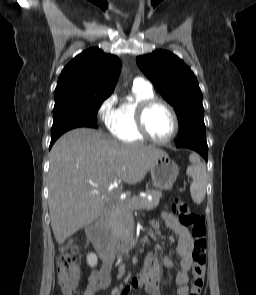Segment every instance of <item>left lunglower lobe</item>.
I'll return each mask as SVG.
<instances>
[{
    "label": "left lung lower lobe",
    "mask_w": 256,
    "mask_h": 295,
    "mask_svg": "<svg viewBox=\"0 0 256 295\" xmlns=\"http://www.w3.org/2000/svg\"><path fill=\"white\" fill-rule=\"evenodd\" d=\"M176 146L178 148H190L192 150H195L199 154L203 156V158L207 161L208 158V146L206 139H195V140H189L185 142H179L176 143Z\"/></svg>",
    "instance_id": "left-lung-lower-lobe-1"
}]
</instances>
